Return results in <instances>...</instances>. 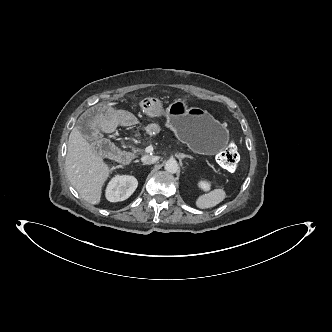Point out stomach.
Instances as JSON below:
<instances>
[{
  "label": "stomach",
  "instance_id": "stomach-1",
  "mask_svg": "<svg viewBox=\"0 0 332 332\" xmlns=\"http://www.w3.org/2000/svg\"><path fill=\"white\" fill-rule=\"evenodd\" d=\"M167 127L175 136L198 153L215 154L229 142V132L210 113L199 107L188 108L176 100L166 110Z\"/></svg>",
  "mask_w": 332,
  "mask_h": 332
}]
</instances>
